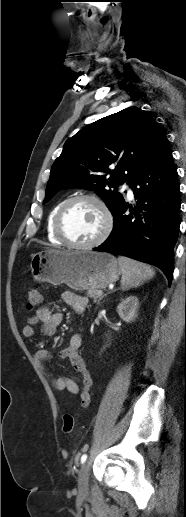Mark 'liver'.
Masks as SVG:
<instances>
[{
  "instance_id": "1",
  "label": "liver",
  "mask_w": 186,
  "mask_h": 517,
  "mask_svg": "<svg viewBox=\"0 0 186 517\" xmlns=\"http://www.w3.org/2000/svg\"><path fill=\"white\" fill-rule=\"evenodd\" d=\"M50 251L60 252V253H66V252H61V251H59V250H54V249H51Z\"/></svg>"
}]
</instances>
